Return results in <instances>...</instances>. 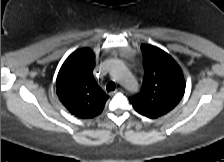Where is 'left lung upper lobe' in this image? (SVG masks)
<instances>
[{"mask_svg":"<svg viewBox=\"0 0 224 162\" xmlns=\"http://www.w3.org/2000/svg\"><path fill=\"white\" fill-rule=\"evenodd\" d=\"M144 78L140 93L129 98L134 109L148 118H158L172 110L185 92L183 73L165 51L142 44Z\"/></svg>","mask_w":224,"mask_h":162,"instance_id":"obj_1","label":"left lung upper lobe"}]
</instances>
